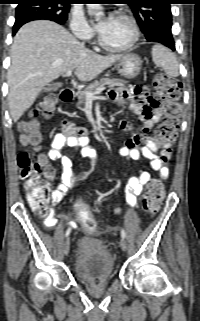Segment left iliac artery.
<instances>
[{
  "instance_id": "44dca946",
  "label": "left iliac artery",
  "mask_w": 200,
  "mask_h": 321,
  "mask_svg": "<svg viewBox=\"0 0 200 321\" xmlns=\"http://www.w3.org/2000/svg\"><path fill=\"white\" fill-rule=\"evenodd\" d=\"M121 237H122V239L126 238V232L124 229L121 230Z\"/></svg>"
}]
</instances>
